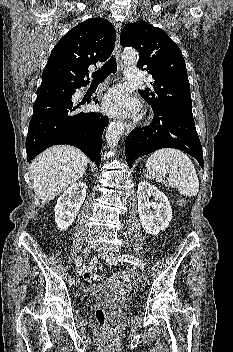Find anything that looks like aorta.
<instances>
[{"label":"aorta","instance_id":"obj_1","mask_svg":"<svg viewBox=\"0 0 233 352\" xmlns=\"http://www.w3.org/2000/svg\"><path fill=\"white\" fill-rule=\"evenodd\" d=\"M122 58L126 62L135 63L138 61V53L134 49L123 51ZM125 125L122 121H116L109 125L106 131V142L108 147L115 148L124 133Z\"/></svg>","mask_w":233,"mask_h":352}]
</instances>
